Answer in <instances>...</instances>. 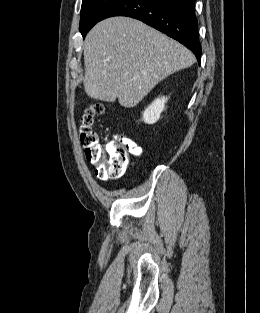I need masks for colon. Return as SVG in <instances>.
<instances>
[{"label":"colon","mask_w":260,"mask_h":313,"mask_svg":"<svg viewBox=\"0 0 260 313\" xmlns=\"http://www.w3.org/2000/svg\"><path fill=\"white\" fill-rule=\"evenodd\" d=\"M104 111V104H91L82 115L79 127V138L85 158L95 167L97 177L103 180L120 177L129 164L133 150V143L121 135L112 137L106 143L99 141L92 125L94 117Z\"/></svg>","instance_id":"colon-1"}]
</instances>
